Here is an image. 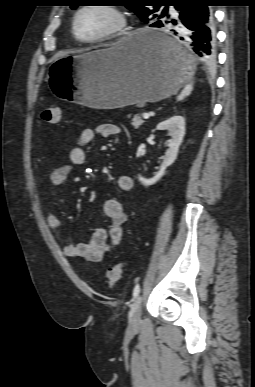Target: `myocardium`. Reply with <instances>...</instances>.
<instances>
[{
  "label": "myocardium",
  "instance_id": "obj_1",
  "mask_svg": "<svg viewBox=\"0 0 255 387\" xmlns=\"http://www.w3.org/2000/svg\"><path fill=\"white\" fill-rule=\"evenodd\" d=\"M89 9H99V10H103L111 13L115 18L114 26L109 30H107L106 32H104L103 34L98 35L96 37H93V38L81 37L77 30V21L79 16L84 11ZM127 26H128V18L126 13L116 5H107V4L83 5L75 11L72 18V33L78 41L85 44H96V43H102V42L114 40L122 36L126 32Z\"/></svg>",
  "mask_w": 255,
  "mask_h": 387
}]
</instances>
